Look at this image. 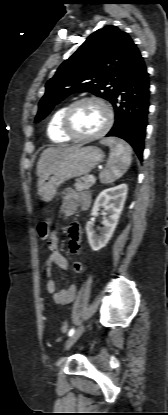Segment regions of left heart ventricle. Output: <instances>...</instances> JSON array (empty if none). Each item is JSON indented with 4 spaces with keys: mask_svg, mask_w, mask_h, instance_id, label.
Returning <instances> with one entry per match:
<instances>
[{
    "mask_svg": "<svg viewBox=\"0 0 168 415\" xmlns=\"http://www.w3.org/2000/svg\"><path fill=\"white\" fill-rule=\"evenodd\" d=\"M106 121L105 110L97 103L79 105L71 117V127L78 135H92L102 129Z\"/></svg>",
    "mask_w": 168,
    "mask_h": 415,
    "instance_id": "left-heart-ventricle-1",
    "label": "left heart ventricle"
}]
</instances>
